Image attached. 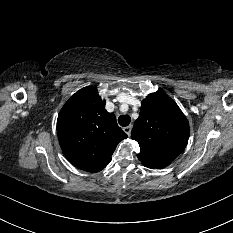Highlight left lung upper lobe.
I'll use <instances>...</instances> for the list:
<instances>
[{
	"label": "left lung upper lobe",
	"instance_id": "1",
	"mask_svg": "<svg viewBox=\"0 0 233 233\" xmlns=\"http://www.w3.org/2000/svg\"><path fill=\"white\" fill-rule=\"evenodd\" d=\"M131 138L140 146L137 157L142 164L162 169L185 149L189 123L178 105L168 95L157 91L142 101Z\"/></svg>",
	"mask_w": 233,
	"mask_h": 233
}]
</instances>
